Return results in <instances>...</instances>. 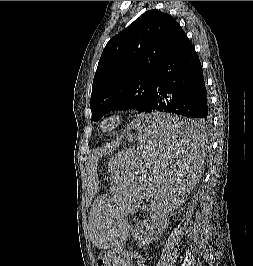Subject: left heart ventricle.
I'll return each mask as SVG.
<instances>
[{
    "mask_svg": "<svg viewBox=\"0 0 253 266\" xmlns=\"http://www.w3.org/2000/svg\"><path fill=\"white\" fill-rule=\"evenodd\" d=\"M109 126V124L107 123V124H105V127H108Z\"/></svg>",
    "mask_w": 253,
    "mask_h": 266,
    "instance_id": "left-heart-ventricle-1",
    "label": "left heart ventricle"
}]
</instances>
